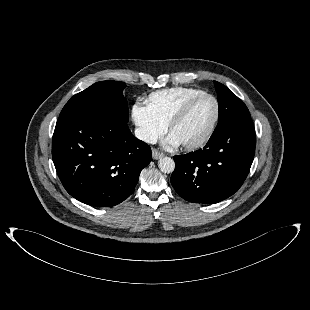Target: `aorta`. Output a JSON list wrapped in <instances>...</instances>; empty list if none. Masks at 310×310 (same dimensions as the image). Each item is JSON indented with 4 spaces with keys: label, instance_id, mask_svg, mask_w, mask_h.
Instances as JSON below:
<instances>
[{
    "label": "aorta",
    "instance_id": "762f6f07",
    "mask_svg": "<svg viewBox=\"0 0 310 310\" xmlns=\"http://www.w3.org/2000/svg\"><path fill=\"white\" fill-rule=\"evenodd\" d=\"M158 167L163 173H172L175 169V162L170 157H162L158 162Z\"/></svg>",
    "mask_w": 310,
    "mask_h": 310
}]
</instances>
